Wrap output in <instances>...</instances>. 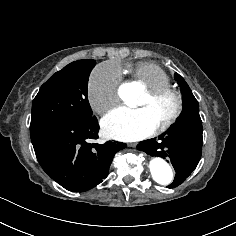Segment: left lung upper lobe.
Instances as JSON below:
<instances>
[{"label":"left lung upper lobe","mask_w":236,"mask_h":236,"mask_svg":"<svg viewBox=\"0 0 236 236\" xmlns=\"http://www.w3.org/2000/svg\"><path fill=\"white\" fill-rule=\"evenodd\" d=\"M175 79L180 85L183 96V106H184V109L179 118L177 119L176 123L202 124L199 115V104L196 98L194 97L191 89L178 73H175Z\"/></svg>","instance_id":"left-lung-upper-lobe-1"}]
</instances>
